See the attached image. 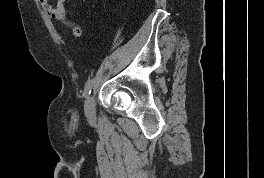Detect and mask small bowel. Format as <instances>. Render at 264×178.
I'll return each instance as SVG.
<instances>
[{"mask_svg":"<svg viewBox=\"0 0 264 178\" xmlns=\"http://www.w3.org/2000/svg\"><path fill=\"white\" fill-rule=\"evenodd\" d=\"M66 0H57L55 6H51L48 3V0H39L42 8L44 9L45 13L53 20L59 21L65 24L67 27L71 29L72 34L75 37H79L82 35V27L80 25L74 24L71 22L66 15V11L64 8Z\"/></svg>","mask_w":264,"mask_h":178,"instance_id":"obj_1","label":"small bowel"}]
</instances>
